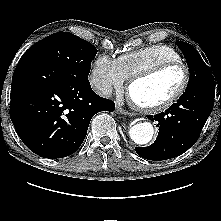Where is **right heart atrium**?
<instances>
[{
	"label": "right heart atrium",
	"instance_id": "1",
	"mask_svg": "<svg viewBox=\"0 0 221 221\" xmlns=\"http://www.w3.org/2000/svg\"><path fill=\"white\" fill-rule=\"evenodd\" d=\"M89 81L97 92L108 95L113 91H121L126 79L117 60L106 54H101L96 57L92 64Z\"/></svg>",
	"mask_w": 221,
	"mask_h": 221
}]
</instances>
